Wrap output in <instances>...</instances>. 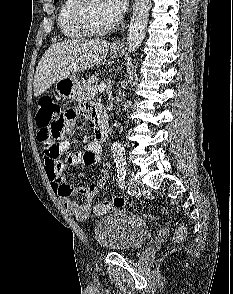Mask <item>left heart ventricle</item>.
Masks as SVG:
<instances>
[{"instance_id":"1","label":"left heart ventricle","mask_w":233,"mask_h":294,"mask_svg":"<svg viewBox=\"0 0 233 294\" xmlns=\"http://www.w3.org/2000/svg\"><path fill=\"white\" fill-rule=\"evenodd\" d=\"M90 24L96 28H104L116 20L105 4V0H91L88 8Z\"/></svg>"}]
</instances>
